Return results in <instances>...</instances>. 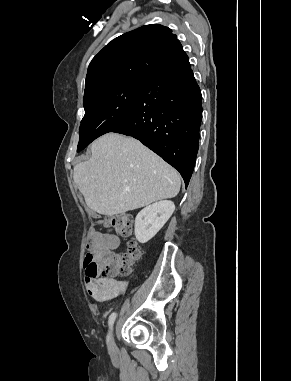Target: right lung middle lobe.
<instances>
[{
	"instance_id": "right-lung-middle-lobe-1",
	"label": "right lung middle lobe",
	"mask_w": 291,
	"mask_h": 381,
	"mask_svg": "<svg viewBox=\"0 0 291 381\" xmlns=\"http://www.w3.org/2000/svg\"><path fill=\"white\" fill-rule=\"evenodd\" d=\"M144 81H130L100 90L83 100L85 115L81 121L77 152L99 136L127 122Z\"/></svg>"
}]
</instances>
